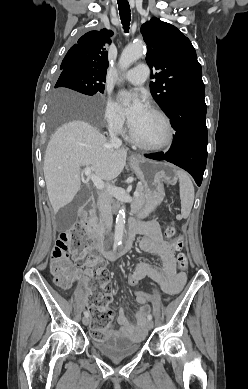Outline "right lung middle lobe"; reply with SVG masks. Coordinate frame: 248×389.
<instances>
[{"label": "right lung middle lobe", "instance_id": "1", "mask_svg": "<svg viewBox=\"0 0 248 389\" xmlns=\"http://www.w3.org/2000/svg\"><path fill=\"white\" fill-rule=\"evenodd\" d=\"M63 69L55 88L67 87L86 95L104 93V82L106 78L99 77L91 72L76 68ZM76 110L89 117H95L97 108L92 104H77Z\"/></svg>", "mask_w": 248, "mask_h": 389}]
</instances>
